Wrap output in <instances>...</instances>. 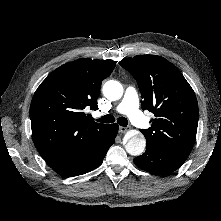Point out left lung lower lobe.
<instances>
[{"label": "left lung lower lobe", "instance_id": "0a47b994", "mask_svg": "<svg viewBox=\"0 0 221 221\" xmlns=\"http://www.w3.org/2000/svg\"><path fill=\"white\" fill-rule=\"evenodd\" d=\"M186 158L159 151L153 148H146L143 155L134 159L137 167L155 174H167L177 170Z\"/></svg>", "mask_w": 221, "mask_h": 221}]
</instances>
